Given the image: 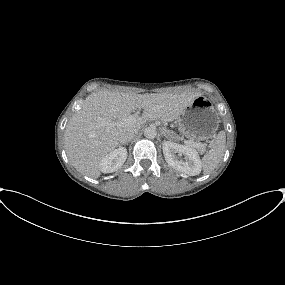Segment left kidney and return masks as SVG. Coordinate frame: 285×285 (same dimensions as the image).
<instances>
[{
	"instance_id": "5707ae66",
	"label": "left kidney",
	"mask_w": 285,
	"mask_h": 285,
	"mask_svg": "<svg viewBox=\"0 0 285 285\" xmlns=\"http://www.w3.org/2000/svg\"><path fill=\"white\" fill-rule=\"evenodd\" d=\"M163 154L166 162L179 172L190 176L201 172V160L198 152L189 145H181L171 141L163 142ZM184 155L186 160H179L178 156Z\"/></svg>"
}]
</instances>
